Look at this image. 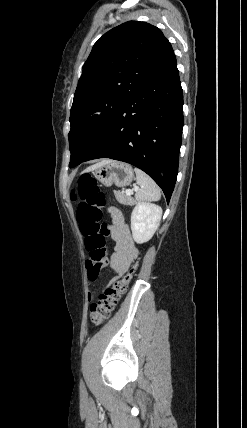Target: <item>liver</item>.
<instances>
[{
    "instance_id": "1",
    "label": "liver",
    "mask_w": 247,
    "mask_h": 428,
    "mask_svg": "<svg viewBox=\"0 0 247 428\" xmlns=\"http://www.w3.org/2000/svg\"><path fill=\"white\" fill-rule=\"evenodd\" d=\"M109 162H111V160H109V159L102 160L101 162L96 163V164H94V165H92V166L88 167V168L85 170V172L93 171V170H94V169H96L97 167H99V166H101V165H103V164L109 163Z\"/></svg>"
}]
</instances>
